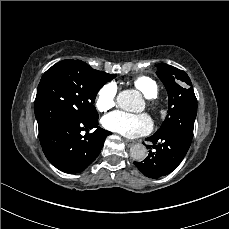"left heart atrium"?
Segmentation results:
<instances>
[{"mask_svg":"<svg viewBox=\"0 0 229 229\" xmlns=\"http://www.w3.org/2000/svg\"><path fill=\"white\" fill-rule=\"evenodd\" d=\"M103 126L123 136L135 138L148 134L153 122L148 114H131L124 111H115L106 115Z\"/></svg>","mask_w":229,"mask_h":229,"instance_id":"left-heart-atrium-1","label":"left heart atrium"}]
</instances>
